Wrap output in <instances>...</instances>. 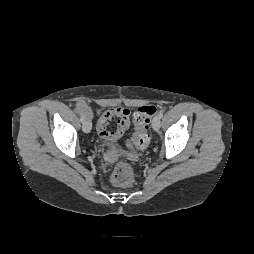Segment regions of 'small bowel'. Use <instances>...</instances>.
<instances>
[{
	"mask_svg": "<svg viewBox=\"0 0 254 254\" xmlns=\"http://www.w3.org/2000/svg\"><path fill=\"white\" fill-rule=\"evenodd\" d=\"M76 108L78 113H80L83 117L87 119L92 117V111L86 101H78ZM112 119H116L117 126L115 129L109 130L107 125ZM130 119L131 111L126 107L116 106L102 110L98 114L96 126L97 133L102 139L114 142L121 138L128 130L130 127Z\"/></svg>",
	"mask_w": 254,
	"mask_h": 254,
	"instance_id": "c3829d8e",
	"label": "small bowel"
}]
</instances>
